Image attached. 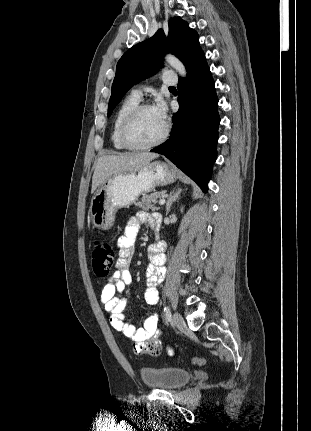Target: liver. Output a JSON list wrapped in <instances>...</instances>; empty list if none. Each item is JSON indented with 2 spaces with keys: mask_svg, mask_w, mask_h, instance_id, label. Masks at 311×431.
<instances>
[{
  "mask_svg": "<svg viewBox=\"0 0 311 431\" xmlns=\"http://www.w3.org/2000/svg\"><path fill=\"white\" fill-rule=\"evenodd\" d=\"M155 158H159V154H151V152L124 154V156H101V158H98L97 166L92 176L91 194H95L99 186L110 176L123 174V172L135 174Z\"/></svg>",
  "mask_w": 311,
  "mask_h": 431,
  "instance_id": "liver-1",
  "label": "liver"
}]
</instances>
